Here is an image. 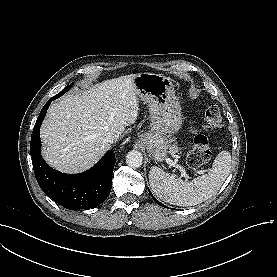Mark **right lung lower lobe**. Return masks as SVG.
<instances>
[{"label":"right lung lower lobe","mask_w":277,"mask_h":277,"mask_svg":"<svg viewBox=\"0 0 277 277\" xmlns=\"http://www.w3.org/2000/svg\"><path fill=\"white\" fill-rule=\"evenodd\" d=\"M52 101L49 99L42 108L31 136L30 152L36 180L45 194L67 209L97 207L112 188L113 150L108 151L93 168L80 174H62L49 167L40 153V126Z\"/></svg>","instance_id":"obj_1"}]
</instances>
